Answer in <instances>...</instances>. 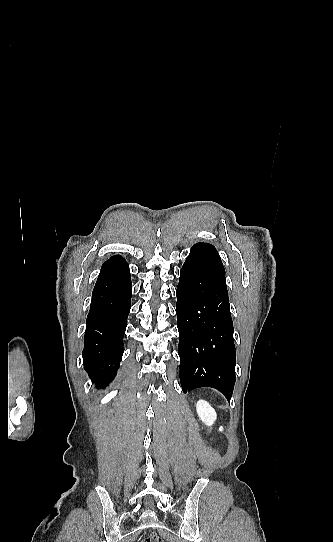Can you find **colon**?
I'll list each match as a JSON object with an SVG mask.
<instances>
[{"label":"colon","mask_w":333,"mask_h":542,"mask_svg":"<svg viewBox=\"0 0 333 542\" xmlns=\"http://www.w3.org/2000/svg\"><path fill=\"white\" fill-rule=\"evenodd\" d=\"M141 542H163L162 536H157L155 534H150L143 536Z\"/></svg>","instance_id":"colon-1"}]
</instances>
